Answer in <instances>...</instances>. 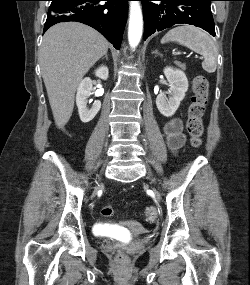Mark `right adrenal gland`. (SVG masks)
Returning <instances> with one entry per match:
<instances>
[{"mask_svg":"<svg viewBox=\"0 0 250 285\" xmlns=\"http://www.w3.org/2000/svg\"><path fill=\"white\" fill-rule=\"evenodd\" d=\"M106 58L108 60V55L105 54L102 59Z\"/></svg>","mask_w":250,"mask_h":285,"instance_id":"2a0ac1e0","label":"right adrenal gland"}]
</instances>
